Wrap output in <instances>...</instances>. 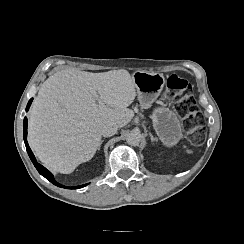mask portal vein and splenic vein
<instances>
[{"mask_svg":"<svg viewBox=\"0 0 244 244\" xmlns=\"http://www.w3.org/2000/svg\"><path fill=\"white\" fill-rule=\"evenodd\" d=\"M94 96L96 97L99 106H104L103 101L99 98V96H98V94L96 92L94 93Z\"/></svg>","mask_w":244,"mask_h":244,"instance_id":"obj_1","label":"portal vein and splenic vein"}]
</instances>
